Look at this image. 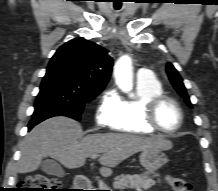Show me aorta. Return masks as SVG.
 <instances>
[{
    "label": "aorta",
    "mask_w": 218,
    "mask_h": 191,
    "mask_svg": "<svg viewBox=\"0 0 218 191\" xmlns=\"http://www.w3.org/2000/svg\"><path fill=\"white\" fill-rule=\"evenodd\" d=\"M114 78L118 87L130 97L134 95L131 92L133 88V70L131 58L124 55L118 59L114 66Z\"/></svg>",
    "instance_id": "aorta-1"
}]
</instances>
